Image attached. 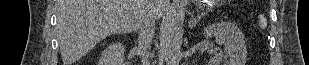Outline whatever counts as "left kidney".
Segmentation results:
<instances>
[{
	"label": "left kidney",
	"instance_id": "left-kidney-1",
	"mask_svg": "<svg viewBox=\"0 0 309 65\" xmlns=\"http://www.w3.org/2000/svg\"><path fill=\"white\" fill-rule=\"evenodd\" d=\"M206 38L215 37L216 43L224 45L223 51L212 57L210 65H245L247 49L242 31L231 22H219L204 28Z\"/></svg>",
	"mask_w": 309,
	"mask_h": 65
}]
</instances>
